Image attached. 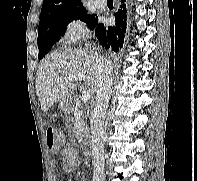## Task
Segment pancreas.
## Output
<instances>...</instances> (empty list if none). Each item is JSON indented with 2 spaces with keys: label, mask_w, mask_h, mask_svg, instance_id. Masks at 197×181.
Returning <instances> with one entry per match:
<instances>
[{
  "label": "pancreas",
  "mask_w": 197,
  "mask_h": 181,
  "mask_svg": "<svg viewBox=\"0 0 197 181\" xmlns=\"http://www.w3.org/2000/svg\"><path fill=\"white\" fill-rule=\"evenodd\" d=\"M72 123L77 140H87L89 138V127L87 125V115L82 110L81 104H78L72 111Z\"/></svg>",
  "instance_id": "1"
}]
</instances>
